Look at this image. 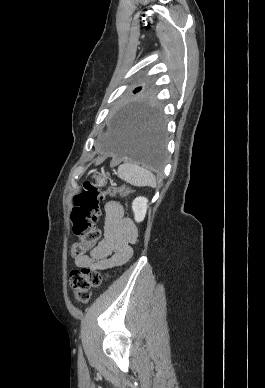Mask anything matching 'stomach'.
I'll return each instance as SVG.
<instances>
[{"label": "stomach", "mask_w": 265, "mask_h": 388, "mask_svg": "<svg viewBox=\"0 0 265 388\" xmlns=\"http://www.w3.org/2000/svg\"><path fill=\"white\" fill-rule=\"evenodd\" d=\"M94 178L96 179V185L99 187H102L106 184V176L105 174H101L100 176L94 175Z\"/></svg>", "instance_id": "obj_1"}]
</instances>
